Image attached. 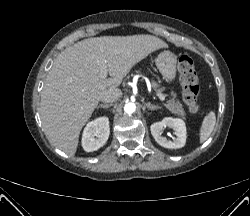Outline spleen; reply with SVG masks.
I'll use <instances>...</instances> for the list:
<instances>
[{
  "label": "spleen",
  "mask_w": 250,
  "mask_h": 216,
  "mask_svg": "<svg viewBox=\"0 0 250 216\" xmlns=\"http://www.w3.org/2000/svg\"><path fill=\"white\" fill-rule=\"evenodd\" d=\"M216 123V115L214 111H210L203 119L200 128V143L205 142L213 132Z\"/></svg>",
  "instance_id": "1"
}]
</instances>
